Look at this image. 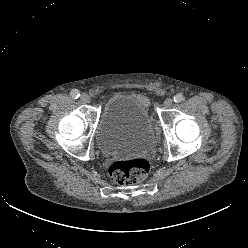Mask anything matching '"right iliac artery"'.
<instances>
[{"mask_svg":"<svg viewBox=\"0 0 248 248\" xmlns=\"http://www.w3.org/2000/svg\"><path fill=\"white\" fill-rule=\"evenodd\" d=\"M71 96H72L74 99H77V98L80 96L79 90H77V89L72 90V91H71Z\"/></svg>","mask_w":248,"mask_h":248,"instance_id":"obj_1","label":"right iliac artery"}]
</instances>
